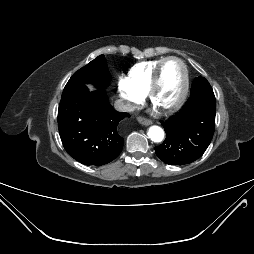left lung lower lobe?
Listing matches in <instances>:
<instances>
[{
  "mask_svg": "<svg viewBox=\"0 0 254 254\" xmlns=\"http://www.w3.org/2000/svg\"><path fill=\"white\" fill-rule=\"evenodd\" d=\"M216 100L188 99L175 116L162 121L165 141L155 147L157 156L169 165H184L200 158L215 129Z\"/></svg>",
  "mask_w": 254,
  "mask_h": 254,
  "instance_id": "0a47b994",
  "label": "left lung lower lobe"
}]
</instances>
